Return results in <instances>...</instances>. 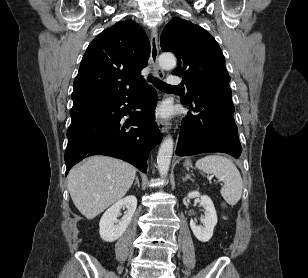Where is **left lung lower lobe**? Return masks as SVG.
I'll use <instances>...</instances> for the list:
<instances>
[{
  "label": "left lung lower lobe",
  "instance_id": "left-lung-lower-lobe-1",
  "mask_svg": "<svg viewBox=\"0 0 308 278\" xmlns=\"http://www.w3.org/2000/svg\"><path fill=\"white\" fill-rule=\"evenodd\" d=\"M229 84L208 88L191 102L181 100L194 113L182 120L176 148L178 156L223 152L238 158L242 147L234 121V105Z\"/></svg>",
  "mask_w": 308,
  "mask_h": 278
}]
</instances>
